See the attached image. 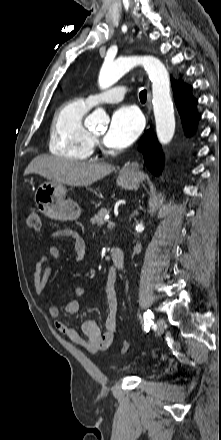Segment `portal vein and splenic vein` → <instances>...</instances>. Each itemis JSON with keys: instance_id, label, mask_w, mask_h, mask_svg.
<instances>
[{"instance_id": "obj_1", "label": "portal vein and splenic vein", "mask_w": 221, "mask_h": 440, "mask_svg": "<svg viewBox=\"0 0 221 440\" xmlns=\"http://www.w3.org/2000/svg\"><path fill=\"white\" fill-rule=\"evenodd\" d=\"M114 226H115V222H113V221H108V225H107L108 228H112V227H114Z\"/></svg>"}]
</instances>
